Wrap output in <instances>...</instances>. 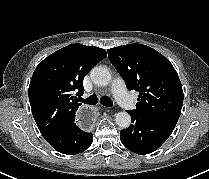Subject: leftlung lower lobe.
<instances>
[{
    "instance_id": "1",
    "label": "left lung lower lobe",
    "mask_w": 209,
    "mask_h": 179,
    "mask_svg": "<svg viewBox=\"0 0 209 179\" xmlns=\"http://www.w3.org/2000/svg\"><path fill=\"white\" fill-rule=\"evenodd\" d=\"M132 125L120 131L122 144L136 154H149L158 149L171 135L175 122L150 117L135 110L127 111Z\"/></svg>"
}]
</instances>
